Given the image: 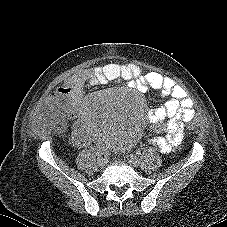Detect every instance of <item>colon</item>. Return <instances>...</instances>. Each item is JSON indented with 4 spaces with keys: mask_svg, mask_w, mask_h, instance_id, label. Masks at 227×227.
Listing matches in <instances>:
<instances>
[{
    "mask_svg": "<svg viewBox=\"0 0 227 227\" xmlns=\"http://www.w3.org/2000/svg\"><path fill=\"white\" fill-rule=\"evenodd\" d=\"M179 135L182 138L187 139L193 135V128L191 126H181L179 128Z\"/></svg>",
    "mask_w": 227,
    "mask_h": 227,
    "instance_id": "obj_1",
    "label": "colon"
}]
</instances>
